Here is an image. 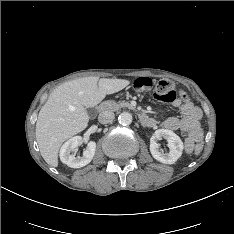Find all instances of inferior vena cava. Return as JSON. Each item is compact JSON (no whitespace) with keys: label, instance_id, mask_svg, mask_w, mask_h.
<instances>
[{"label":"inferior vena cava","instance_id":"602c4592","mask_svg":"<svg viewBox=\"0 0 234 234\" xmlns=\"http://www.w3.org/2000/svg\"><path fill=\"white\" fill-rule=\"evenodd\" d=\"M114 118H115V115L113 112L104 111L99 114L98 121L102 124H108V123H112Z\"/></svg>","mask_w":234,"mask_h":234}]
</instances>
